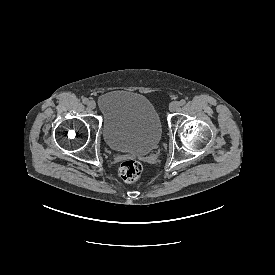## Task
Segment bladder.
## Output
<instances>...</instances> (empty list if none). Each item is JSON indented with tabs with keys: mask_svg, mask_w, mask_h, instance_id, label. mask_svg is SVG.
Wrapping results in <instances>:
<instances>
[{
	"mask_svg": "<svg viewBox=\"0 0 275 275\" xmlns=\"http://www.w3.org/2000/svg\"><path fill=\"white\" fill-rule=\"evenodd\" d=\"M97 106L104 141L112 150L147 154L158 145L161 121L143 95L111 91L98 98Z\"/></svg>",
	"mask_w": 275,
	"mask_h": 275,
	"instance_id": "bladder-1",
	"label": "bladder"
}]
</instances>
